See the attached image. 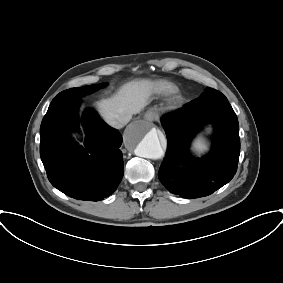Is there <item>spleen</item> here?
Listing matches in <instances>:
<instances>
[{
	"label": "spleen",
	"instance_id": "1",
	"mask_svg": "<svg viewBox=\"0 0 283 283\" xmlns=\"http://www.w3.org/2000/svg\"><path fill=\"white\" fill-rule=\"evenodd\" d=\"M193 149L197 152H203L207 150V145L202 138H197L193 144Z\"/></svg>",
	"mask_w": 283,
	"mask_h": 283
}]
</instances>
